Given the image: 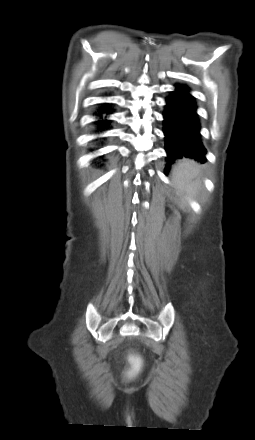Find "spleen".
<instances>
[{"label": "spleen", "mask_w": 255, "mask_h": 440, "mask_svg": "<svg viewBox=\"0 0 255 440\" xmlns=\"http://www.w3.org/2000/svg\"><path fill=\"white\" fill-rule=\"evenodd\" d=\"M197 174V166L194 161L183 160L174 168L173 175L177 185L190 189V181Z\"/></svg>", "instance_id": "3e777b00"}]
</instances>
